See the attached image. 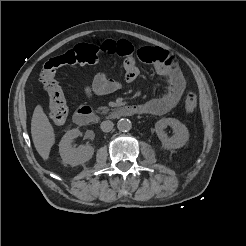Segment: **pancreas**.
<instances>
[{"label": "pancreas", "mask_w": 246, "mask_h": 246, "mask_svg": "<svg viewBox=\"0 0 246 246\" xmlns=\"http://www.w3.org/2000/svg\"><path fill=\"white\" fill-rule=\"evenodd\" d=\"M109 111V108L106 106L99 107L97 112L107 113Z\"/></svg>", "instance_id": "pancreas-1"}]
</instances>
